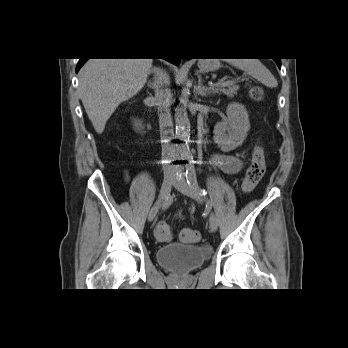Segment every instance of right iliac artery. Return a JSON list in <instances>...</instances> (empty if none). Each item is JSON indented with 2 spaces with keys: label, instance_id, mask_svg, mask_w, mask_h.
Returning a JSON list of instances; mask_svg holds the SVG:
<instances>
[{
  "label": "right iliac artery",
  "instance_id": "right-iliac-artery-1",
  "mask_svg": "<svg viewBox=\"0 0 348 348\" xmlns=\"http://www.w3.org/2000/svg\"><path fill=\"white\" fill-rule=\"evenodd\" d=\"M182 176H183V172L180 170L179 173L177 174V177H178L179 179H181Z\"/></svg>",
  "mask_w": 348,
  "mask_h": 348
}]
</instances>
